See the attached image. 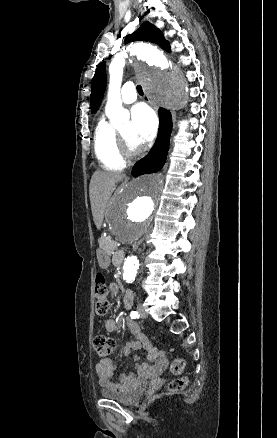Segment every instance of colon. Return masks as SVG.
Returning <instances> with one entry per match:
<instances>
[{
	"label": "colon",
	"instance_id": "1",
	"mask_svg": "<svg viewBox=\"0 0 277 438\" xmlns=\"http://www.w3.org/2000/svg\"><path fill=\"white\" fill-rule=\"evenodd\" d=\"M110 303L107 299V286L105 275L98 272L95 275V304L94 308L98 316H105L108 313ZM93 346L100 359H106L115 348V342L112 337L98 332L93 338ZM184 359L182 357H176L172 364L170 371L173 375L182 373L184 369ZM169 390L165 392L167 397L172 395L171 391H178L188 388V381L186 378H178L169 380Z\"/></svg>",
	"mask_w": 277,
	"mask_h": 438
}]
</instances>
